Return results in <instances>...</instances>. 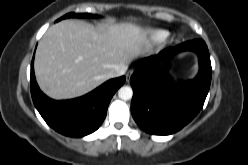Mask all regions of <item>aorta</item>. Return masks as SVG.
<instances>
[{
  "mask_svg": "<svg viewBox=\"0 0 248 165\" xmlns=\"http://www.w3.org/2000/svg\"><path fill=\"white\" fill-rule=\"evenodd\" d=\"M118 96L120 99L127 101L133 96L132 88L129 86H123L118 90Z\"/></svg>",
  "mask_w": 248,
  "mask_h": 165,
  "instance_id": "aorta-1",
  "label": "aorta"
}]
</instances>
